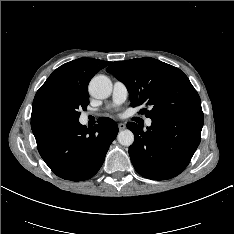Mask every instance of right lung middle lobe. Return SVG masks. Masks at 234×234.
I'll return each mask as SVG.
<instances>
[{"label": "right lung middle lobe", "instance_id": "obj_1", "mask_svg": "<svg viewBox=\"0 0 234 234\" xmlns=\"http://www.w3.org/2000/svg\"><path fill=\"white\" fill-rule=\"evenodd\" d=\"M89 95L83 93L61 92L50 96L42 110L44 118H61L78 121L79 109L86 110Z\"/></svg>", "mask_w": 234, "mask_h": 234}]
</instances>
